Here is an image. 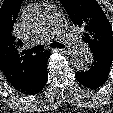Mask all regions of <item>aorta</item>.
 I'll return each mask as SVG.
<instances>
[{"label":"aorta","instance_id":"obj_1","mask_svg":"<svg viewBox=\"0 0 113 113\" xmlns=\"http://www.w3.org/2000/svg\"><path fill=\"white\" fill-rule=\"evenodd\" d=\"M93 63V57L86 50L76 51L71 56V64L79 71H87Z\"/></svg>","mask_w":113,"mask_h":113}]
</instances>
